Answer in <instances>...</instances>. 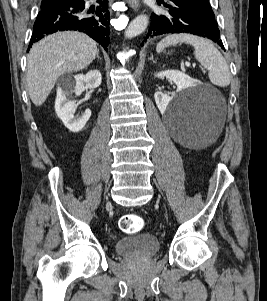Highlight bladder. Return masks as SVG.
Returning <instances> with one entry per match:
<instances>
[{
  "label": "bladder",
  "instance_id": "bladder-1",
  "mask_svg": "<svg viewBox=\"0 0 267 301\" xmlns=\"http://www.w3.org/2000/svg\"><path fill=\"white\" fill-rule=\"evenodd\" d=\"M159 249V239L148 233L124 237L114 243V251L127 256H150L157 253Z\"/></svg>",
  "mask_w": 267,
  "mask_h": 301
}]
</instances>
